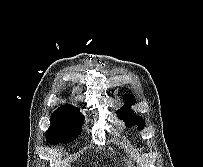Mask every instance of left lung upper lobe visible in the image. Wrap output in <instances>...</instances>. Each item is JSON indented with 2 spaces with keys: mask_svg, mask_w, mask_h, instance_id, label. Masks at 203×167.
Masks as SVG:
<instances>
[{
  "mask_svg": "<svg viewBox=\"0 0 203 167\" xmlns=\"http://www.w3.org/2000/svg\"><path fill=\"white\" fill-rule=\"evenodd\" d=\"M126 104H134L133 96H129L125 98ZM119 118L123 119L126 122L128 127H132L133 125H137L138 129L141 130L144 128L145 121L143 118L134 114V112L128 108V106L122 107L120 110L117 111Z\"/></svg>",
  "mask_w": 203,
  "mask_h": 167,
  "instance_id": "left-lung-upper-lobe-1",
  "label": "left lung upper lobe"
}]
</instances>
